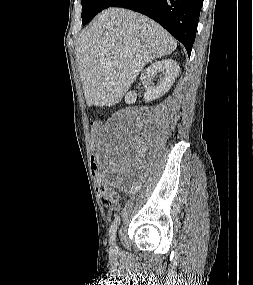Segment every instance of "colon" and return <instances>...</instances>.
Instances as JSON below:
<instances>
[{
  "mask_svg": "<svg viewBox=\"0 0 253 285\" xmlns=\"http://www.w3.org/2000/svg\"><path fill=\"white\" fill-rule=\"evenodd\" d=\"M91 151L92 159L91 164V175L94 176V180H97V191L102 204L106 207H112L118 201V192L105 180V175H102L100 171L99 158H96L99 146V126H91Z\"/></svg>",
  "mask_w": 253,
  "mask_h": 285,
  "instance_id": "obj_1",
  "label": "colon"
}]
</instances>
